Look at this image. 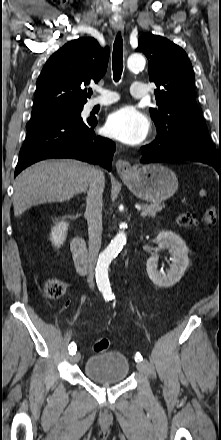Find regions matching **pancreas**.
Instances as JSON below:
<instances>
[{
	"label": "pancreas",
	"instance_id": "pancreas-1",
	"mask_svg": "<svg viewBox=\"0 0 221 440\" xmlns=\"http://www.w3.org/2000/svg\"><path fill=\"white\" fill-rule=\"evenodd\" d=\"M164 207H165V205L160 204V203H153L150 205H147V204L141 205L142 210L145 211L147 213V216H149V217H154Z\"/></svg>",
	"mask_w": 221,
	"mask_h": 440
}]
</instances>
